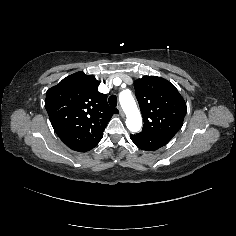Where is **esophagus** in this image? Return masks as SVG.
<instances>
[{"instance_id": "obj_1", "label": "esophagus", "mask_w": 236, "mask_h": 236, "mask_svg": "<svg viewBox=\"0 0 236 236\" xmlns=\"http://www.w3.org/2000/svg\"><path fill=\"white\" fill-rule=\"evenodd\" d=\"M118 110H119L120 116L124 117L125 114H124V112H123V110H122V108L120 106H118Z\"/></svg>"}]
</instances>
